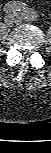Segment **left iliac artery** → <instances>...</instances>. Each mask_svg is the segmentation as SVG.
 Segmentation results:
<instances>
[{
    "label": "left iliac artery",
    "mask_w": 51,
    "mask_h": 153,
    "mask_svg": "<svg viewBox=\"0 0 51 153\" xmlns=\"http://www.w3.org/2000/svg\"><path fill=\"white\" fill-rule=\"evenodd\" d=\"M22 15L24 16V19L26 21H30V22L34 21L36 18V12L30 8H26V10H24Z\"/></svg>",
    "instance_id": "1"
}]
</instances>
